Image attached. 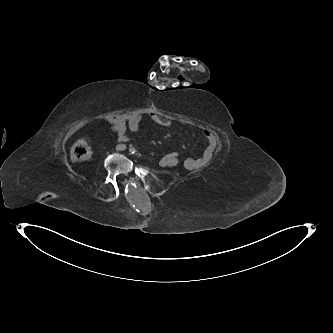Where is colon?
I'll return each instance as SVG.
<instances>
[{
    "mask_svg": "<svg viewBox=\"0 0 333 333\" xmlns=\"http://www.w3.org/2000/svg\"><path fill=\"white\" fill-rule=\"evenodd\" d=\"M71 159L75 162L86 161L92 156V148L90 143L86 139H80L76 141L71 148ZM179 156L178 151L169 152L162 157L160 162H170L172 159H176Z\"/></svg>",
    "mask_w": 333,
    "mask_h": 333,
    "instance_id": "colon-1",
    "label": "colon"
}]
</instances>
